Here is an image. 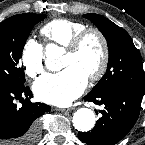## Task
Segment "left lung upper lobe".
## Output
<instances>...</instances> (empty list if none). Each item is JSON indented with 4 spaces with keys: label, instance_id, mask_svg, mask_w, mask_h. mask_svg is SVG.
Returning <instances> with one entry per match:
<instances>
[{
    "label": "left lung upper lobe",
    "instance_id": "left-lung-upper-lobe-1",
    "mask_svg": "<svg viewBox=\"0 0 145 145\" xmlns=\"http://www.w3.org/2000/svg\"><path fill=\"white\" fill-rule=\"evenodd\" d=\"M83 17L98 27L109 48L107 71L89 94L97 96L119 88L144 93L142 58L129 34L104 16L89 13Z\"/></svg>",
    "mask_w": 145,
    "mask_h": 145
}]
</instances>
